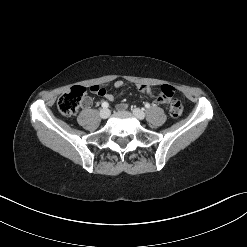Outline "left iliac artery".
<instances>
[{"mask_svg": "<svg viewBox=\"0 0 247 247\" xmlns=\"http://www.w3.org/2000/svg\"><path fill=\"white\" fill-rule=\"evenodd\" d=\"M145 107H146V108H150V104H149V103H146V104H145Z\"/></svg>", "mask_w": 247, "mask_h": 247, "instance_id": "obj_1", "label": "left iliac artery"}]
</instances>
